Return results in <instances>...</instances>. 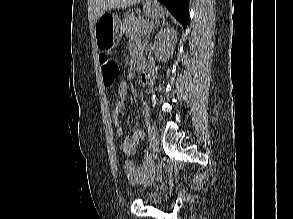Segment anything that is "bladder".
<instances>
[{
  "label": "bladder",
  "mask_w": 293,
  "mask_h": 219,
  "mask_svg": "<svg viewBox=\"0 0 293 219\" xmlns=\"http://www.w3.org/2000/svg\"><path fill=\"white\" fill-rule=\"evenodd\" d=\"M136 194L147 200H153L155 198V194L153 192H150L144 189H138L136 191Z\"/></svg>",
  "instance_id": "31cf9c89"
}]
</instances>
